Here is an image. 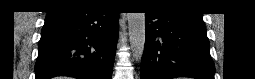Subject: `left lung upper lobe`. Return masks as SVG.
Wrapping results in <instances>:
<instances>
[{"label": "left lung upper lobe", "instance_id": "obj_1", "mask_svg": "<svg viewBox=\"0 0 255 79\" xmlns=\"http://www.w3.org/2000/svg\"><path fill=\"white\" fill-rule=\"evenodd\" d=\"M163 3H167V4H174V3H177L176 1L174 0H164V1H161Z\"/></svg>", "mask_w": 255, "mask_h": 79}]
</instances>
